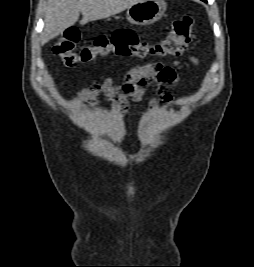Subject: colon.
<instances>
[{
	"mask_svg": "<svg viewBox=\"0 0 254 267\" xmlns=\"http://www.w3.org/2000/svg\"><path fill=\"white\" fill-rule=\"evenodd\" d=\"M193 38L192 19L188 16L174 20L165 37L155 44L141 41L132 32L118 31L78 49L80 34L77 29L69 28L55 44L54 53L65 66L73 68L108 54L139 58L178 56L186 50Z\"/></svg>",
	"mask_w": 254,
	"mask_h": 267,
	"instance_id": "5ec220e1",
	"label": "colon"
}]
</instances>
